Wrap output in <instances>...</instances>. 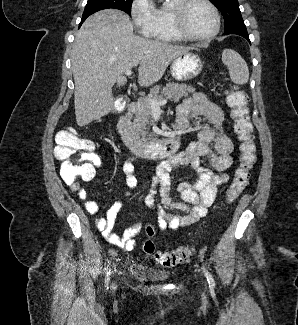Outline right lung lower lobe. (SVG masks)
Returning <instances> with one entry per match:
<instances>
[{"label": "right lung lower lobe", "mask_w": 298, "mask_h": 325, "mask_svg": "<svg viewBox=\"0 0 298 325\" xmlns=\"http://www.w3.org/2000/svg\"><path fill=\"white\" fill-rule=\"evenodd\" d=\"M84 20L81 21L80 25L83 23Z\"/></svg>", "instance_id": "obj_1"}]
</instances>
